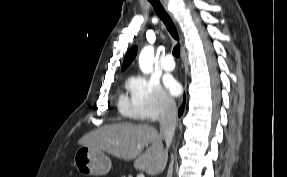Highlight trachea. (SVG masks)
Listing matches in <instances>:
<instances>
[{
	"mask_svg": "<svg viewBox=\"0 0 287 177\" xmlns=\"http://www.w3.org/2000/svg\"><path fill=\"white\" fill-rule=\"evenodd\" d=\"M149 2L152 4L155 12L160 17V19L163 21V23L165 24V26H166L167 30L170 32L171 36L174 39L179 40V36H178L177 30H176V27H175L172 19L168 15V13L165 11L163 6L159 2V0H149ZM172 53L176 57L180 56V44L179 43L174 47Z\"/></svg>",
	"mask_w": 287,
	"mask_h": 177,
	"instance_id": "obj_1",
	"label": "trachea"
}]
</instances>
